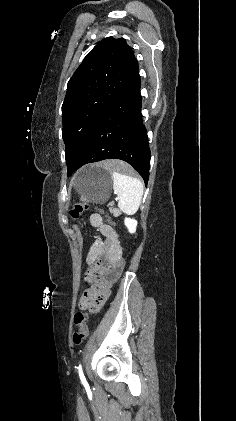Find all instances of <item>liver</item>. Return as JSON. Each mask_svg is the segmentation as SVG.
I'll list each match as a JSON object with an SVG mask.
<instances>
[{"label": "liver", "instance_id": "1", "mask_svg": "<svg viewBox=\"0 0 236 421\" xmlns=\"http://www.w3.org/2000/svg\"><path fill=\"white\" fill-rule=\"evenodd\" d=\"M110 162H114V160H102V162H100V166H104V168H110Z\"/></svg>", "mask_w": 236, "mask_h": 421}]
</instances>
